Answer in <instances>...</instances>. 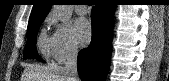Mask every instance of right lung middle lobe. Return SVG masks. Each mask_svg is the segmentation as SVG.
Here are the masks:
<instances>
[{
	"mask_svg": "<svg viewBox=\"0 0 169 81\" xmlns=\"http://www.w3.org/2000/svg\"><path fill=\"white\" fill-rule=\"evenodd\" d=\"M43 20L36 21L33 23L28 24L27 28V43L25 46L24 58H36L39 61H43L37 51H36V35L38 33V29L41 25Z\"/></svg>",
	"mask_w": 169,
	"mask_h": 81,
	"instance_id": "obj_1",
	"label": "right lung middle lobe"
}]
</instances>
